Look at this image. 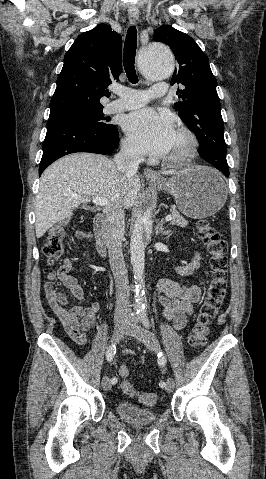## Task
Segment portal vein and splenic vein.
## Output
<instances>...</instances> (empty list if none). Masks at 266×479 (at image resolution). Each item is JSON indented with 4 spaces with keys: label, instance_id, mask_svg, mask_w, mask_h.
I'll use <instances>...</instances> for the list:
<instances>
[{
    "label": "portal vein and splenic vein",
    "instance_id": "obj_1",
    "mask_svg": "<svg viewBox=\"0 0 266 479\" xmlns=\"http://www.w3.org/2000/svg\"><path fill=\"white\" fill-rule=\"evenodd\" d=\"M73 196L77 197V195H74V194H73ZM92 202L97 206H107V205H109V200L105 197H95V198L92 199ZM165 219H166V221H171L172 216L167 215Z\"/></svg>",
    "mask_w": 266,
    "mask_h": 479
}]
</instances>
